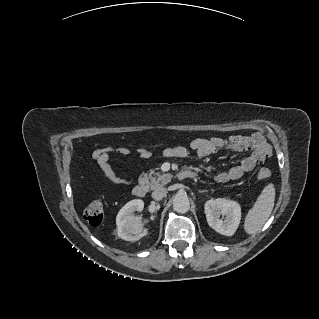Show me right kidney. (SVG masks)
Masks as SVG:
<instances>
[{
  "instance_id": "ca27d5eb",
  "label": "right kidney",
  "mask_w": 319,
  "mask_h": 319,
  "mask_svg": "<svg viewBox=\"0 0 319 319\" xmlns=\"http://www.w3.org/2000/svg\"><path fill=\"white\" fill-rule=\"evenodd\" d=\"M144 202L134 199L126 203L118 212L116 217V231L118 237L126 241H136L148 234L143 228L142 217L134 216V212H141Z\"/></svg>"
}]
</instances>
